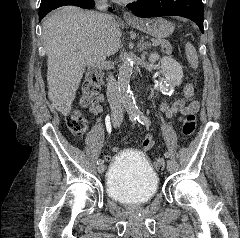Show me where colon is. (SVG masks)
<instances>
[{
  "label": "colon",
  "instance_id": "1",
  "mask_svg": "<svg viewBox=\"0 0 240 238\" xmlns=\"http://www.w3.org/2000/svg\"><path fill=\"white\" fill-rule=\"evenodd\" d=\"M102 86V74L99 71H93L88 74L85 79L83 87L82 104L89 107L93 101L98 97ZM184 95L187 99H192L195 92V87L192 82H188L183 89ZM66 124L68 129L76 136H81L87 129V119L79 110H74L66 117ZM196 129V117L194 114H189L185 117L182 125V132L186 136H190ZM154 167L157 170H163L165 167V160L157 158L154 161Z\"/></svg>",
  "mask_w": 240,
  "mask_h": 238
}]
</instances>
